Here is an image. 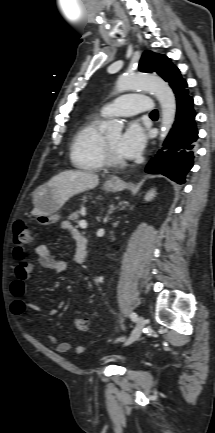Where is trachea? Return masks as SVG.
<instances>
[{
	"label": "trachea",
	"instance_id": "3493384b",
	"mask_svg": "<svg viewBox=\"0 0 215 433\" xmlns=\"http://www.w3.org/2000/svg\"><path fill=\"white\" fill-rule=\"evenodd\" d=\"M150 115H158V111H157V110H154V111H152V112L150 113Z\"/></svg>",
	"mask_w": 215,
	"mask_h": 433
}]
</instances>
